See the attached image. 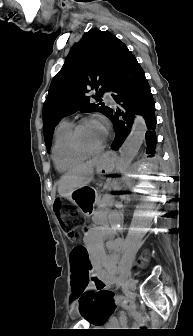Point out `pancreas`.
<instances>
[{
	"mask_svg": "<svg viewBox=\"0 0 193 336\" xmlns=\"http://www.w3.org/2000/svg\"><path fill=\"white\" fill-rule=\"evenodd\" d=\"M106 194L105 195H101L99 198V202L97 203L98 205L95 206L96 210H100V211H110L113 209V194L111 192H108L110 187L106 186Z\"/></svg>",
	"mask_w": 193,
	"mask_h": 336,
	"instance_id": "cf45deb5",
	"label": "pancreas"
}]
</instances>
